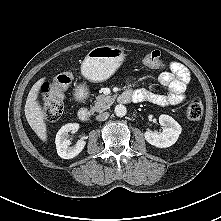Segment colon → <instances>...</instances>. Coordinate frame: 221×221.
Here are the masks:
<instances>
[{
	"mask_svg": "<svg viewBox=\"0 0 221 221\" xmlns=\"http://www.w3.org/2000/svg\"><path fill=\"white\" fill-rule=\"evenodd\" d=\"M143 64L151 69L164 67V60L159 51H151L143 58ZM71 72H62L52 81L43 82L39 87L41 106L51 121L59 119L64 110V93L72 81ZM203 104L199 98H192L187 106V116L196 121L202 117Z\"/></svg>",
	"mask_w": 221,
	"mask_h": 221,
	"instance_id": "1",
	"label": "colon"
}]
</instances>
